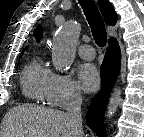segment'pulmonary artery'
<instances>
[{"instance_id":"obj_1","label":"pulmonary artery","mask_w":144,"mask_h":137,"mask_svg":"<svg viewBox=\"0 0 144 137\" xmlns=\"http://www.w3.org/2000/svg\"><path fill=\"white\" fill-rule=\"evenodd\" d=\"M78 54L85 60H92L95 57V51L91 45L83 44L78 48Z\"/></svg>"}]
</instances>
